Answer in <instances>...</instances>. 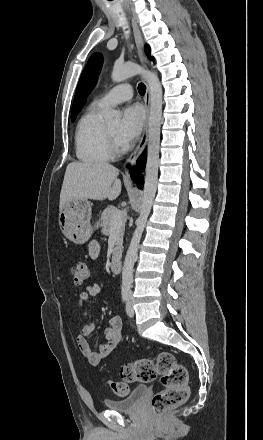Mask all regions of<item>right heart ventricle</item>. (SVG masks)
<instances>
[{"instance_id": "obj_1", "label": "right heart ventricle", "mask_w": 263, "mask_h": 440, "mask_svg": "<svg viewBox=\"0 0 263 440\" xmlns=\"http://www.w3.org/2000/svg\"><path fill=\"white\" fill-rule=\"evenodd\" d=\"M103 108L96 102L91 104L78 121L75 147L78 159L83 162H104L112 157L101 116Z\"/></svg>"}]
</instances>
